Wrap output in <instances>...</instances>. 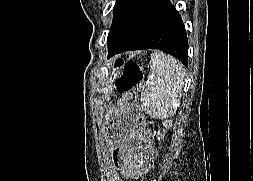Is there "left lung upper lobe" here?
<instances>
[{
    "label": "left lung upper lobe",
    "mask_w": 253,
    "mask_h": 181,
    "mask_svg": "<svg viewBox=\"0 0 253 181\" xmlns=\"http://www.w3.org/2000/svg\"><path fill=\"white\" fill-rule=\"evenodd\" d=\"M133 0H117L116 4L114 6V18H113V22H112V26L115 24V22L117 21V19L121 16V14L123 13V11L126 9V7L132 2ZM111 26V28H112Z\"/></svg>",
    "instance_id": "1"
}]
</instances>
